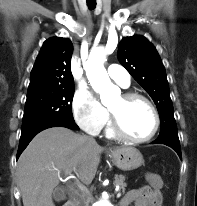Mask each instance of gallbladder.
Masks as SVG:
<instances>
[{
    "mask_svg": "<svg viewBox=\"0 0 197 206\" xmlns=\"http://www.w3.org/2000/svg\"><path fill=\"white\" fill-rule=\"evenodd\" d=\"M53 196H54L55 201L57 202L63 201L66 198V195L61 188L55 189L53 192Z\"/></svg>",
    "mask_w": 197,
    "mask_h": 206,
    "instance_id": "bac80fb5",
    "label": "gallbladder"
}]
</instances>
